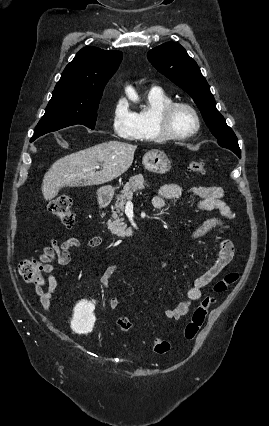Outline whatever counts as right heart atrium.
<instances>
[{
  "label": "right heart atrium",
  "mask_w": 269,
  "mask_h": 426,
  "mask_svg": "<svg viewBox=\"0 0 269 426\" xmlns=\"http://www.w3.org/2000/svg\"><path fill=\"white\" fill-rule=\"evenodd\" d=\"M111 129L114 135L126 140L137 135L136 116L125 98H117L112 105Z\"/></svg>",
  "instance_id": "d8ad5b80"
}]
</instances>
